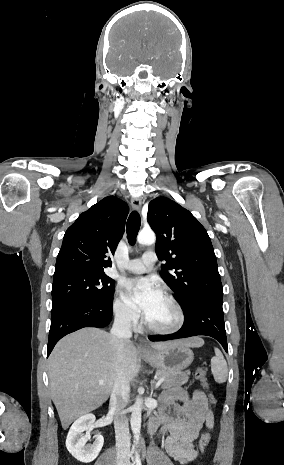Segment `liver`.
Returning <instances> with one entry per match:
<instances>
[{
	"mask_svg": "<svg viewBox=\"0 0 284 465\" xmlns=\"http://www.w3.org/2000/svg\"><path fill=\"white\" fill-rule=\"evenodd\" d=\"M186 347H203L200 337L184 339ZM170 343H152L157 351ZM122 347L121 351H119ZM122 361H119V355ZM138 351L131 341H119L101 329H82L57 343L48 359L52 401L63 429L107 401L118 371L134 381L139 371ZM104 383H99V381Z\"/></svg>",
	"mask_w": 284,
	"mask_h": 465,
	"instance_id": "1",
	"label": "liver"
}]
</instances>
